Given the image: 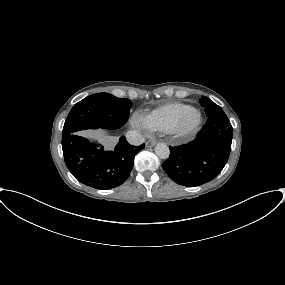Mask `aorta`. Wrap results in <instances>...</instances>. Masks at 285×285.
Here are the masks:
<instances>
[{"label":"aorta","instance_id":"762f6f07","mask_svg":"<svg viewBox=\"0 0 285 285\" xmlns=\"http://www.w3.org/2000/svg\"><path fill=\"white\" fill-rule=\"evenodd\" d=\"M155 154L161 159H168L170 155L169 147L164 143H158L155 146Z\"/></svg>","mask_w":285,"mask_h":285}]
</instances>
